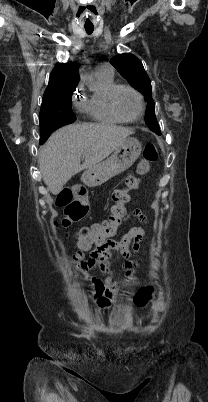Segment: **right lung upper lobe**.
<instances>
[{"instance_id":"obj_1","label":"right lung upper lobe","mask_w":208,"mask_h":402,"mask_svg":"<svg viewBox=\"0 0 208 402\" xmlns=\"http://www.w3.org/2000/svg\"><path fill=\"white\" fill-rule=\"evenodd\" d=\"M80 80L76 62L59 63L51 74L44 96L65 89L75 88Z\"/></svg>"}]
</instances>
